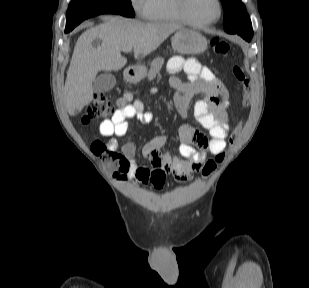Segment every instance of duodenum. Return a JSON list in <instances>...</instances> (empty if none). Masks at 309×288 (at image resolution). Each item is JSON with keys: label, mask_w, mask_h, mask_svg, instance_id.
I'll list each match as a JSON object with an SVG mask.
<instances>
[{"label": "duodenum", "mask_w": 309, "mask_h": 288, "mask_svg": "<svg viewBox=\"0 0 309 288\" xmlns=\"http://www.w3.org/2000/svg\"><path fill=\"white\" fill-rule=\"evenodd\" d=\"M125 75L129 80H133L135 77V70L132 67L125 69Z\"/></svg>", "instance_id": "duodenum-1"}]
</instances>
